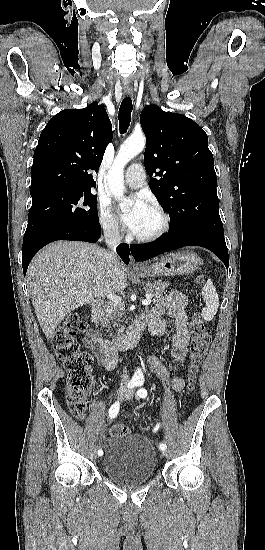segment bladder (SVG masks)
I'll return each instance as SVG.
<instances>
[{"instance_id":"1","label":"bladder","mask_w":265,"mask_h":550,"mask_svg":"<svg viewBox=\"0 0 265 550\" xmlns=\"http://www.w3.org/2000/svg\"><path fill=\"white\" fill-rule=\"evenodd\" d=\"M101 454L104 474L123 485L145 483L156 470V452L147 438L139 434L112 437Z\"/></svg>"}]
</instances>
